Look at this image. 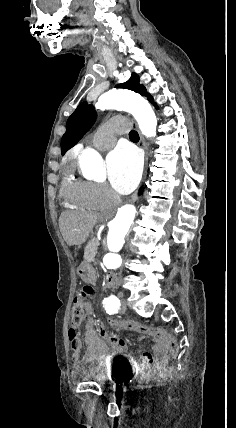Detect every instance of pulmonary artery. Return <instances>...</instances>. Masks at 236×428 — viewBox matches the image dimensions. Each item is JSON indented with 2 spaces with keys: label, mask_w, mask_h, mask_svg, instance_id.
<instances>
[{
  "label": "pulmonary artery",
  "mask_w": 236,
  "mask_h": 428,
  "mask_svg": "<svg viewBox=\"0 0 236 428\" xmlns=\"http://www.w3.org/2000/svg\"><path fill=\"white\" fill-rule=\"evenodd\" d=\"M94 146L98 150H108L114 146V142H95Z\"/></svg>",
  "instance_id": "pulmonary-artery-1"
}]
</instances>
